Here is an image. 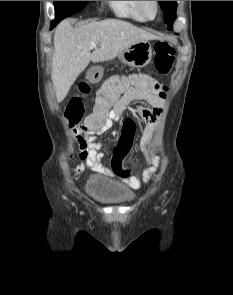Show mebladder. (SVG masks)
Listing matches in <instances>:
<instances>
[{
  "label": "bladder",
  "instance_id": "obj_1",
  "mask_svg": "<svg viewBox=\"0 0 233 295\" xmlns=\"http://www.w3.org/2000/svg\"><path fill=\"white\" fill-rule=\"evenodd\" d=\"M86 195L105 204H127L135 199V192L128 186L116 182L106 176L94 175L85 186Z\"/></svg>",
  "mask_w": 233,
  "mask_h": 295
}]
</instances>
